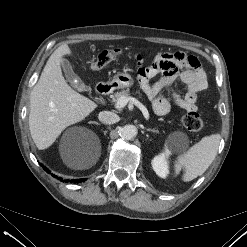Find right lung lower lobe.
<instances>
[{
	"instance_id": "right-lung-lower-lobe-1",
	"label": "right lung lower lobe",
	"mask_w": 247,
	"mask_h": 247,
	"mask_svg": "<svg viewBox=\"0 0 247 247\" xmlns=\"http://www.w3.org/2000/svg\"><path fill=\"white\" fill-rule=\"evenodd\" d=\"M40 165L44 168V170H46L47 173H50V170H48V169H47L46 167H44L42 164H40ZM53 176H54V175H53ZM55 177H57V176H55ZM58 179H59V178H58ZM60 180L63 181L62 178H60ZM67 181H68V180H67ZM71 181L76 183V182H79L80 179H78V180H74V179H73V180H71ZM81 181H85V179H81Z\"/></svg>"
}]
</instances>
